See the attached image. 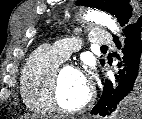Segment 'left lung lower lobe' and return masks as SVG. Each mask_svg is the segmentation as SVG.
Wrapping results in <instances>:
<instances>
[{
    "instance_id": "1",
    "label": "left lung lower lobe",
    "mask_w": 142,
    "mask_h": 119,
    "mask_svg": "<svg viewBox=\"0 0 142 119\" xmlns=\"http://www.w3.org/2000/svg\"><path fill=\"white\" fill-rule=\"evenodd\" d=\"M124 34L126 38L123 66L125 68L117 76L121 78L119 85L113 89L111 81L105 80L103 94L92 109L94 115H110L120 103V107L133 113H138L142 109V16L127 25ZM114 41L120 48V43L115 36Z\"/></svg>"
}]
</instances>
